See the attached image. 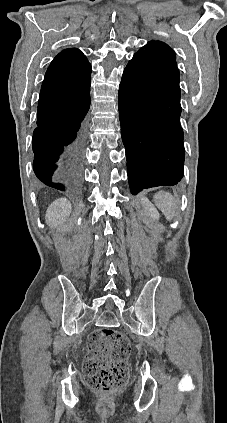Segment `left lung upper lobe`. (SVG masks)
I'll return each mask as SVG.
<instances>
[{
	"mask_svg": "<svg viewBox=\"0 0 227 423\" xmlns=\"http://www.w3.org/2000/svg\"><path fill=\"white\" fill-rule=\"evenodd\" d=\"M123 75L154 88L166 109L181 111L175 53L164 42L149 41L129 61Z\"/></svg>",
	"mask_w": 227,
	"mask_h": 423,
	"instance_id": "left-lung-upper-lobe-1",
	"label": "left lung upper lobe"
}]
</instances>
